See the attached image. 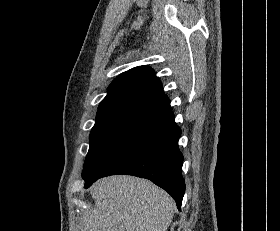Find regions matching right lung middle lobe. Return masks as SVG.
<instances>
[{
    "label": "right lung middle lobe",
    "instance_id": "right-lung-middle-lobe-1",
    "mask_svg": "<svg viewBox=\"0 0 280 231\" xmlns=\"http://www.w3.org/2000/svg\"><path fill=\"white\" fill-rule=\"evenodd\" d=\"M133 125L135 124L127 120L96 119V123L90 133V147L83 165V170L101 149Z\"/></svg>",
    "mask_w": 280,
    "mask_h": 231
}]
</instances>
